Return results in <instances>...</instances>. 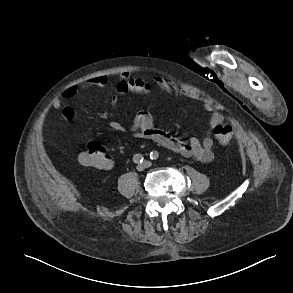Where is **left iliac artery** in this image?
Returning <instances> with one entry per match:
<instances>
[{
    "label": "left iliac artery",
    "instance_id": "44dca946",
    "mask_svg": "<svg viewBox=\"0 0 293 293\" xmlns=\"http://www.w3.org/2000/svg\"><path fill=\"white\" fill-rule=\"evenodd\" d=\"M150 158H151L152 160H157V159L159 158V153H158L157 151H152V152L150 153Z\"/></svg>",
    "mask_w": 293,
    "mask_h": 293
}]
</instances>
